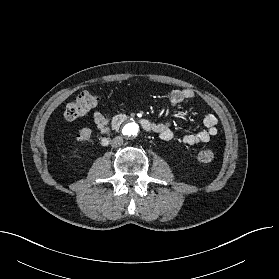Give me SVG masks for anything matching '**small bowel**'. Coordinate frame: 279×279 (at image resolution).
Wrapping results in <instances>:
<instances>
[{
	"label": "small bowel",
	"mask_w": 279,
	"mask_h": 279,
	"mask_svg": "<svg viewBox=\"0 0 279 279\" xmlns=\"http://www.w3.org/2000/svg\"><path fill=\"white\" fill-rule=\"evenodd\" d=\"M195 93L192 89H176L170 93V102L173 107H177L180 103L194 98ZM93 120L97 129L101 133H107L110 128L109 118L100 111L93 114ZM203 128L199 131L185 134L177 137L171 129V121L162 123H152V131L157 133L164 141L177 140L179 143L186 145H196L208 142L217 134V118L213 113L206 112L203 116Z\"/></svg>",
	"instance_id": "obj_1"
}]
</instances>
